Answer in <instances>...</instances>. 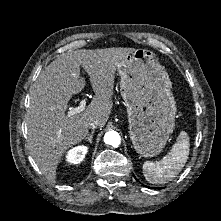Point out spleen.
<instances>
[{"label":"spleen","mask_w":221,"mask_h":221,"mask_svg":"<svg viewBox=\"0 0 221 221\" xmlns=\"http://www.w3.org/2000/svg\"><path fill=\"white\" fill-rule=\"evenodd\" d=\"M189 147L187 133L185 131L180 132L177 142L162 160L158 162L146 161L143 164L145 179L152 184H165L172 181L187 162Z\"/></svg>","instance_id":"spleen-1"}]
</instances>
